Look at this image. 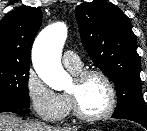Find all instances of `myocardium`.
Here are the masks:
<instances>
[{
  "instance_id": "obj_1",
  "label": "myocardium",
  "mask_w": 147,
  "mask_h": 131,
  "mask_svg": "<svg viewBox=\"0 0 147 131\" xmlns=\"http://www.w3.org/2000/svg\"><path fill=\"white\" fill-rule=\"evenodd\" d=\"M92 76H97V77L101 78L104 81V83L106 84V87L108 89L109 102H108L106 109L103 112H101L99 114H95V115L85 114L79 106L76 95L72 92H69V91L67 92V95L70 100L71 108H72L74 115L78 119H80L82 121H86V122H95V121H99V120L107 118L108 116H110L113 113V111L116 107V104H117V92H116L115 85H114L113 81L111 80V78L105 72L98 70V69L81 70L75 74L74 80L77 83H81L85 79L92 77Z\"/></svg>"
}]
</instances>
